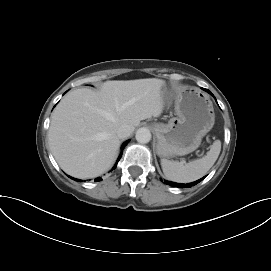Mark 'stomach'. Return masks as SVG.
<instances>
[{"label":"stomach","mask_w":271,"mask_h":271,"mask_svg":"<svg viewBox=\"0 0 271 271\" xmlns=\"http://www.w3.org/2000/svg\"><path fill=\"white\" fill-rule=\"evenodd\" d=\"M162 101L166 108L174 104L176 117L171 118L167 124L153 125L157 137V154L169 158L193 152L215 123L209 96L196 87L174 89L165 85Z\"/></svg>","instance_id":"stomach-1"}]
</instances>
